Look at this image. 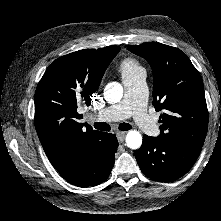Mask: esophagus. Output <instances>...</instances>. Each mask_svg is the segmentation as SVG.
Segmentation results:
<instances>
[{"mask_svg": "<svg viewBox=\"0 0 221 221\" xmlns=\"http://www.w3.org/2000/svg\"><path fill=\"white\" fill-rule=\"evenodd\" d=\"M116 137L119 143H122L125 140V132H117Z\"/></svg>", "mask_w": 221, "mask_h": 221, "instance_id": "34e87169", "label": "esophagus"}]
</instances>
